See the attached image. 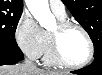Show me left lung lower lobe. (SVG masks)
Here are the masks:
<instances>
[{
	"instance_id": "1",
	"label": "left lung lower lobe",
	"mask_w": 102,
	"mask_h": 75,
	"mask_svg": "<svg viewBox=\"0 0 102 75\" xmlns=\"http://www.w3.org/2000/svg\"><path fill=\"white\" fill-rule=\"evenodd\" d=\"M72 73L81 75H102V54L96 56L94 62L90 66L75 70Z\"/></svg>"
}]
</instances>
